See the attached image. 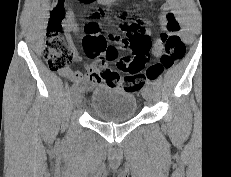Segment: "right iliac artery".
Wrapping results in <instances>:
<instances>
[{
	"label": "right iliac artery",
	"mask_w": 231,
	"mask_h": 177,
	"mask_svg": "<svg viewBox=\"0 0 231 177\" xmlns=\"http://www.w3.org/2000/svg\"><path fill=\"white\" fill-rule=\"evenodd\" d=\"M77 88V84H73L70 88V91H74Z\"/></svg>",
	"instance_id": "82829eb1"
}]
</instances>
